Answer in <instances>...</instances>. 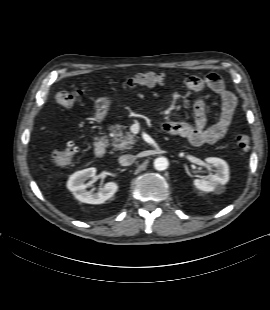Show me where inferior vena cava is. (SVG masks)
Returning a JSON list of instances; mask_svg holds the SVG:
<instances>
[{
	"instance_id": "inferior-vena-cava-1",
	"label": "inferior vena cava",
	"mask_w": 270,
	"mask_h": 310,
	"mask_svg": "<svg viewBox=\"0 0 270 310\" xmlns=\"http://www.w3.org/2000/svg\"><path fill=\"white\" fill-rule=\"evenodd\" d=\"M135 161V156L131 154H125L119 157V163L122 166H129Z\"/></svg>"
}]
</instances>
